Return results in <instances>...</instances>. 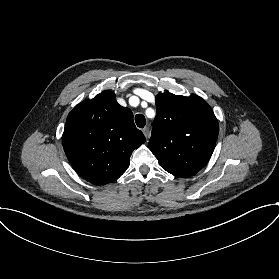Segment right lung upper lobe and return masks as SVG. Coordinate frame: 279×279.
Instances as JSON below:
<instances>
[{
	"label": "right lung upper lobe",
	"instance_id": "obj_1",
	"mask_svg": "<svg viewBox=\"0 0 279 279\" xmlns=\"http://www.w3.org/2000/svg\"><path fill=\"white\" fill-rule=\"evenodd\" d=\"M145 142L133 113L120 106L112 91L78 104L68 115L62 144L79 176L94 185L119 178L132 151Z\"/></svg>",
	"mask_w": 279,
	"mask_h": 279
}]
</instances>
